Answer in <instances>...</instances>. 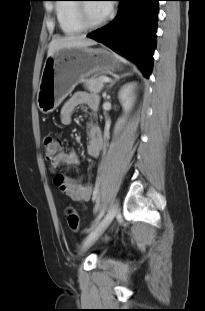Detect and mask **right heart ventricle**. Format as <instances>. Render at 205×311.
Listing matches in <instances>:
<instances>
[{
  "label": "right heart ventricle",
  "mask_w": 205,
  "mask_h": 311,
  "mask_svg": "<svg viewBox=\"0 0 205 311\" xmlns=\"http://www.w3.org/2000/svg\"><path fill=\"white\" fill-rule=\"evenodd\" d=\"M60 2H71L74 0H59ZM56 17L60 29L66 35H76L84 29L80 25L76 15V4L58 3L56 4Z\"/></svg>",
  "instance_id": "right-heart-ventricle-1"
}]
</instances>
